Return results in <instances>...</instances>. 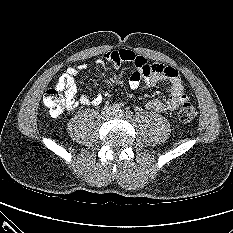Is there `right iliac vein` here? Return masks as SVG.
<instances>
[{"label": "right iliac vein", "mask_w": 233, "mask_h": 233, "mask_svg": "<svg viewBox=\"0 0 233 233\" xmlns=\"http://www.w3.org/2000/svg\"><path fill=\"white\" fill-rule=\"evenodd\" d=\"M111 115V110L109 108L104 109L103 116L109 117Z\"/></svg>", "instance_id": "1"}]
</instances>
